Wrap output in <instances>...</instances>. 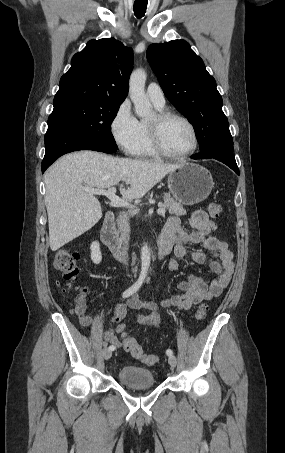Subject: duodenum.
Here are the masks:
<instances>
[{
    "mask_svg": "<svg viewBox=\"0 0 285 453\" xmlns=\"http://www.w3.org/2000/svg\"><path fill=\"white\" fill-rule=\"evenodd\" d=\"M101 239L117 259L123 260L125 258L124 249L116 232L115 215L113 212H108L104 218L101 228ZM171 248L172 244L170 241L160 236L158 240L157 259L162 260L169 254Z\"/></svg>",
    "mask_w": 285,
    "mask_h": 453,
    "instance_id": "obj_1",
    "label": "duodenum"
}]
</instances>
